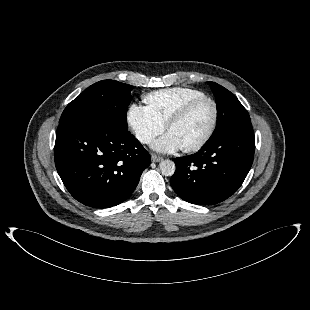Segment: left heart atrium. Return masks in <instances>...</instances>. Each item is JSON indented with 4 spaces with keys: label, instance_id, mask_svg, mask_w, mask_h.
I'll return each instance as SVG.
<instances>
[{
    "label": "left heart atrium",
    "instance_id": "39dd6f15",
    "mask_svg": "<svg viewBox=\"0 0 310 310\" xmlns=\"http://www.w3.org/2000/svg\"><path fill=\"white\" fill-rule=\"evenodd\" d=\"M152 147L160 153H173L181 149L182 144L174 133L167 132L165 135L156 140Z\"/></svg>",
    "mask_w": 310,
    "mask_h": 310
}]
</instances>
